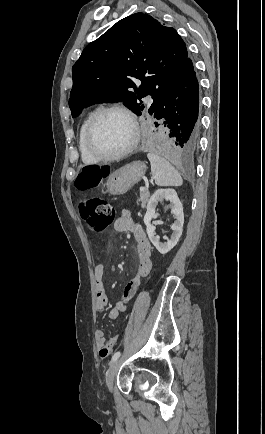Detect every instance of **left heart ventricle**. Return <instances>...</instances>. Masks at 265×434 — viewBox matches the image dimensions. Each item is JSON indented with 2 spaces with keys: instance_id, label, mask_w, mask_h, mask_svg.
<instances>
[{
  "instance_id": "obj_1",
  "label": "left heart ventricle",
  "mask_w": 265,
  "mask_h": 434,
  "mask_svg": "<svg viewBox=\"0 0 265 434\" xmlns=\"http://www.w3.org/2000/svg\"><path fill=\"white\" fill-rule=\"evenodd\" d=\"M133 138V126L130 119L120 111L104 114L97 126L95 141L106 154L124 151Z\"/></svg>"
}]
</instances>
